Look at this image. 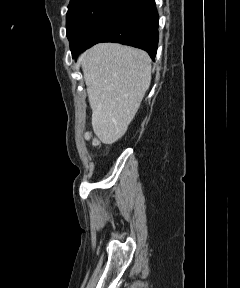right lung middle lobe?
Here are the masks:
<instances>
[{
    "label": "right lung middle lobe",
    "instance_id": "right-lung-middle-lobe-1",
    "mask_svg": "<svg viewBox=\"0 0 240 288\" xmlns=\"http://www.w3.org/2000/svg\"><path fill=\"white\" fill-rule=\"evenodd\" d=\"M118 0H71L66 16L70 46L78 45Z\"/></svg>",
    "mask_w": 240,
    "mask_h": 288
}]
</instances>
